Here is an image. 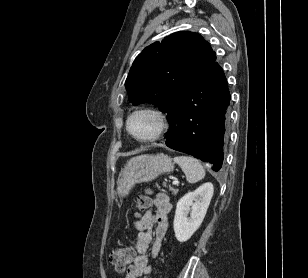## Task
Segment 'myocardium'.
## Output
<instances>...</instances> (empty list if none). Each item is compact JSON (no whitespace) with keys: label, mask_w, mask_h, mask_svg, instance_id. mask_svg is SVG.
Returning <instances> with one entry per match:
<instances>
[{"label":"myocardium","mask_w":308,"mask_h":278,"mask_svg":"<svg viewBox=\"0 0 308 278\" xmlns=\"http://www.w3.org/2000/svg\"><path fill=\"white\" fill-rule=\"evenodd\" d=\"M140 113H149L151 115H153L158 123L157 129L156 131L149 137L146 138H140L137 137L131 130L130 128V123L131 120L134 116H136L137 114ZM168 128V120L167 117L165 115V113L163 111H161L158 108L155 107H140L136 110H134L127 118L126 121V130L129 133V135L135 139L138 142H143V143H149V142H154L157 141L158 139H160L166 132Z\"/></svg>","instance_id":"obj_1"}]
</instances>
